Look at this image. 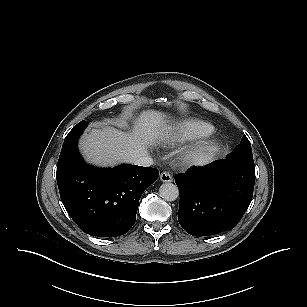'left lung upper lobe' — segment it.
I'll list each match as a JSON object with an SVG mask.
<instances>
[{
    "label": "left lung upper lobe",
    "mask_w": 307,
    "mask_h": 307,
    "mask_svg": "<svg viewBox=\"0 0 307 307\" xmlns=\"http://www.w3.org/2000/svg\"><path fill=\"white\" fill-rule=\"evenodd\" d=\"M228 158L253 161L251 144L245 135L241 143L229 154Z\"/></svg>",
    "instance_id": "5c2ea615"
}]
</instances>
